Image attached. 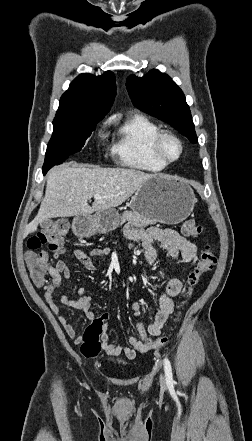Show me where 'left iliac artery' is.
Listing matches in <instances>:
<instances>
[{
    "instance_id": "44dca946",
    "label": "left iliac artery",
    "mask_w": 252,
    "mask_h": 441,
    "mask_svg": "<svg viewBox=\"0 0 252 441\" xmlns=\"http://www.w3.org/2000/svg\"><path fill=\"white\" fill-rule=\"evenodd\" d=\"M164 370L167 384H173L172 368L170 361L167 358L164 359Z\"/></svg>"
}]
</instances>
